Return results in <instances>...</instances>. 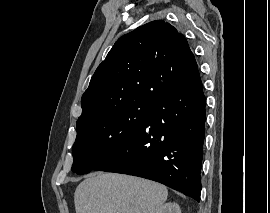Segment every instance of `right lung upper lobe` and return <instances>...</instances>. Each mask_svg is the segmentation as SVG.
<instances>
[{"label":"right lung upper lobe","instance_id":"1","mask_svg":"<svg viewBox=\"0 0 270 213\" xmlns=\"http://www.w3.org/2000/svg\"><path fill=\"white\" fill-rule=\"evenodd\" d=\"M198 66L186 38L163 20L119 38L81 98L77 123L136 101L156 103L182 85Z\"/></svg>","mask_w":270,"mask_h":213}]
</instances>
